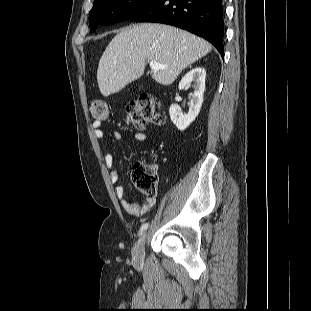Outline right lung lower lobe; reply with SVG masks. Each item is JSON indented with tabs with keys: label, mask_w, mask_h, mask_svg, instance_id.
Returning a JSON list of instances; mask_svg holds the SVG:
<instances>
[{
	"label": "right lung lower lobe",
	"mask_w": 311,
	"mask_h": 311,
	"mask_svg": "<svg viewBox=\"0 0 311 311\" xmlns=\"http://www.w3.org/2000/svg\"><path fill=\"white\" fill-rule=\"evenodd\" d=\"M129 19L187 30L208 40L224 56L223 0H156Z\"/></svg>",
	"instance_id": "obj_1"
}]
</instances>
